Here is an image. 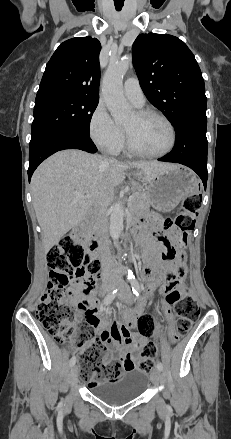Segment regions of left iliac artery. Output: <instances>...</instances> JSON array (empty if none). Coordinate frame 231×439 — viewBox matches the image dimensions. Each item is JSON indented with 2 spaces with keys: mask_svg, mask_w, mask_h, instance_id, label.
I'll return each mask as SVG.
<instances>
[{
  "mask_svg": "<svg viewBox=\"0 0 231 439\" xmlns=\"http://www.w3.org/2000/svg\"><path fill=\"white\" fill-rule=\"evenodd\" d=\"M130 284L132 287V291L136 296H139V292H140V286L139 283L137 281V279L135 277H131L130 278ZM157 368L161 371L163 369V365L161 362L157 363Z\"/></svg>",
  "mask_w": 231,
  "mask_h": 439,
  "instance_id": "44dca946",
  "label": "left iliac artery"
}]
</instances>
